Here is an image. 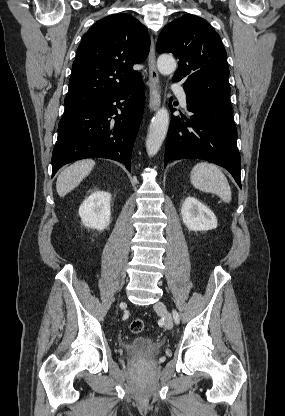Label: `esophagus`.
Listing matches in <instances>:
<instances>
[{
    "label": "esophagus",
    "mask_w": 285,
    "mask_h": 416,
    "mask_svg": "<svg viewBox=\"0 0 285 416\" xmlns=\"http://www.w3.org/2000/svg\"><path fill=\"white\" fill-rule=\"evenodd\" d=\"M148 71H149V109L151 112H154L158 109L161 103V91H160V82L159 74L156 67V56H155V45L154 40L151 38L150 52L148 55Z\"/></svg>",
    "instance_id": "obj_1"
}]
</instances>
